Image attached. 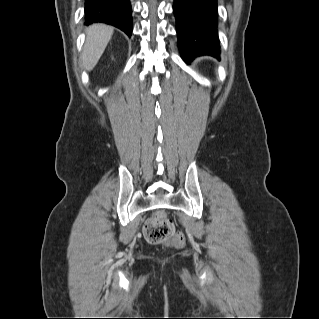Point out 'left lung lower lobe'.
<instances>
[{"label":"left lung lower lobe","mask_w":319,"mask_h":319,"mask_svg":"<svg viewBox=\"0 0 319 319\" xmlns=\"http://www.w3.org/2000/svg\"><path fill=\"white\" fill-rule=\"evenodd\" d=\"M178 47L186 62L202 55L220 59L217 0H174Z\"/></svg>","instance_id":"1"}]
</instances>
